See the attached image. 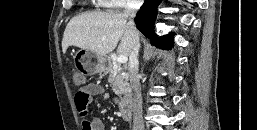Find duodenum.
I'll return each instance as SVG.
<instances>
[{
  "instance_id": "1",
  "label": "duodenum",
  "mask_w": 257,
  "mask_h": 130,
  "mask_svg": "<svg viewBox=\"0 0 257 130\" xmlns=\"http://www.w3.org/2000/svg\"><path fill=\"white\" fill-rule=\"evenodd\" d=\"M105 67H108V63H105ZM119 109L124 119H129L132 114V95L130 91H126L119 103Z\"/></svg>"
}]
</instances>
